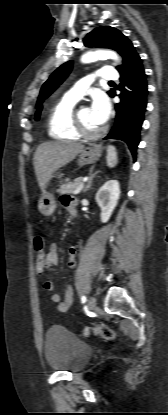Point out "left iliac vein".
Returning <instances> with one entry per match:
<instances>
[{"label":"left iliac vein","mask_w":168,"mask_h":415,"mask_svg":"<svg viewBox=\"0 0 168 415\" xmlns=\"http://www.w3.org/2000/svg\"><path fill=\"white\" fill-rule=\"evenodd\" d=\"M95 306H96L95 297H93V296L89 297V299H88V308L93 310L95 308Z\"/></svg>","instance_id":"obj_1"}]
</instances>
